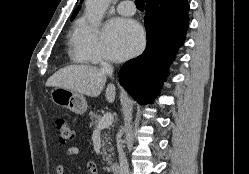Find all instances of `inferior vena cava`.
<instances>
[{
	"mask_svg": "<svg viewBox=\"0 0 249 174\" xmlns=\"http://www.w3.org/2000/svg\"><path fill=\"white\" fill-rule=\"evenodd\" d=\"M101 70L105 74L112 76L113 67L110 63L102 62L101 63ZM118 153H119V163H120L119 174H129L128 161H127L126 155L122 149V146L120 144H118Z\"/></svg>",
	"mask_w": 249,
	"mask_h": 174,
	"instance_id": "obj_1",
	"label": "inferior vena cava"
}]
</instances>
